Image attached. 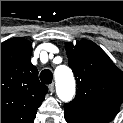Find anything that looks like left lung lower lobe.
I'll list each match as a JSON object with an SVG mask.
<instances>
[{"label": "left lung lower lobe", "instance_id": "1", "mask_svg": "<svg viewBox=\"0 0 123 123\" xmlns=\"http://www.w3.org/2000/svg\"><path fill=\"white\" fill-rule=\"evenodd\" d=\"M65 119L67 123H108L109 120L99 118L77 109H65Z\"/></svg>", "mask_w": 123, "mask_h": 123}]
</instances>
